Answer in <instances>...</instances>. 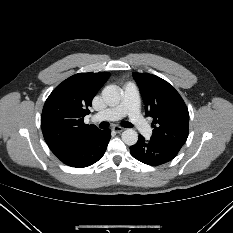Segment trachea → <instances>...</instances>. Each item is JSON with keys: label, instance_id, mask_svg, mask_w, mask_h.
Listing matches in <instances>:
<instances>
[{"label": "trachea", "instance_id": "obj_1", "mask_svg": "<svg viewBox=\"0 0 233 233\" xmlns=\"http://www.w3.org/2000/svg\"><path fill=\"white\" fill-rule=\"evenodd\" d=\"M121 125H122L123 127H125V128H131V127H133V125H132L130 122H123ZM108 126H109V123H108V122H101V123L99 124V127H100L101 129H106V128H108Z\"/></svg>", "mask_w": 233, "mask_h": 233}]
</instances>
